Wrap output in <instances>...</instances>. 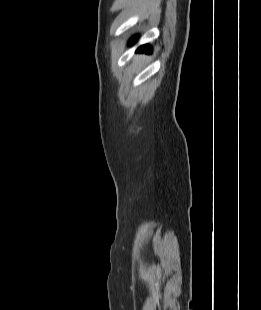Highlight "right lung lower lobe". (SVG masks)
<instances>
[{
    "instance_id": "right-lung-lower-lobe-1",
    "label": "right lung lower lobe",
    "mask_w": 261,
    "mask_h": 310,
    "mask_svg": "<svg viewBox=\"0 0 261 310\" xmlns=\"http://www.w3.org/2000/svg\"><path fill=\"white\" fill-rule=\"evenodd\" d=\"M136 38L131 40V43L135 42ZM139 52H146V53H150L151 52V48L148 45H143L138 49Z\"/></svg>"
}]
</instances>
